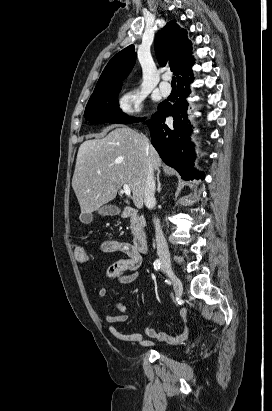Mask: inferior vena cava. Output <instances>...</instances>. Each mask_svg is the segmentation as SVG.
Segmentation results:
<instances>
[{
    "label": "inferior vena cava",
    "instance_id": "1",
    "mask_svg": "<svg viewBox=\"0 0 272 411\" xmlns=\"http://www.w3.org/2000/svg\"><path fill=\"white\" fill-rule=\"evenodd\" d=\"M144 203L148 208H152L156 204L155 179H154L153 167L151 164H149L148 170L146 173V182H145V189H144ZM153 222L155 226L157 254L162 262H170V254H169V250H168L165 237L161 229L160 221L158 218H154Z\"/></svg>",
    "mask_w": 272,
    "mask_h": 411
}]
</instances>
